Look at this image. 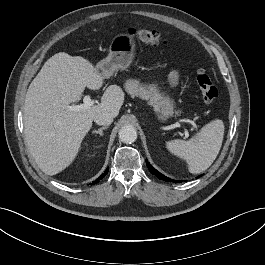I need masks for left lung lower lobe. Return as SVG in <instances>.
Here are the masks:
<instances>
[{
    "label": "left lung lower lobe",
    "instance_id": "left-lung-lower-lobe-1",
    "mask_svg": "<svg viewBox=\"0 0 265 265\" xmlns=\"http://www.w3.org/2000/svg\"><path fill=\"white\" fill-rule=\"evenodd\" d=\"M146 164H147V167H148V169L150 170V172H151L152 174H155L159 179L164 180V181H167V182H171V181H173V180H171V179L165 177V176L162 175L161 173H159L157 170H155V169L149 164V162H148L147 160H146ZM173 182H174V183H180L181 181L174 180Z\"/></svg>",
    "mask_w": 265,
    "mask_h": 265
}]
</instances>
